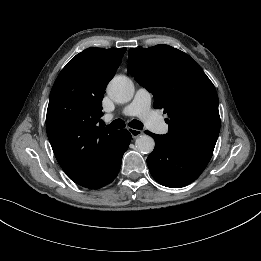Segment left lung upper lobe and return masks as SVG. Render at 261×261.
Listing matches in <instances>:
<instances>
[{
  "mask_svg": "<svg viewBox=\"0 0 261 261\" xmlns=\"http://www.w3.org/2000/svg\"><path fill=\"white\" fill-rule=\"evenodd\" d=\"M128 57L129 73L152 92L154 107L168 114L166 136L184 145L214 149L220 130L218 96L202 68L168 45L130 49Z\"/></svg>",
  "mask_w": 261,
  "mask_h": 261,
  "instance_id": "5c2ea615",
  "label": "left lung upper lobe"
}]
</instances>
